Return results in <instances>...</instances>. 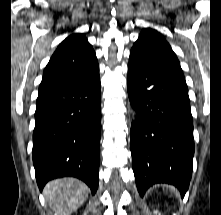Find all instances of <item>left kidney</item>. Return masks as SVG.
<instances>
[{
    "label": "left kidney",
    "instance_id": "obj_1",
    "mask_svg": "<svg viewBox=\"0 0 221 215\" xmlns=\"http://www.w3.org/2000/svg\"><path fill=\"white\" fill-rule=\"evenodd\" d=\"M154 213H156V214H157V213H158V211L156 210V211H154ZM159 215H161V214L159 213Z\"/></svg>",
    "mask_w": 221,
    "mask_h": 215
}]
</instances>
